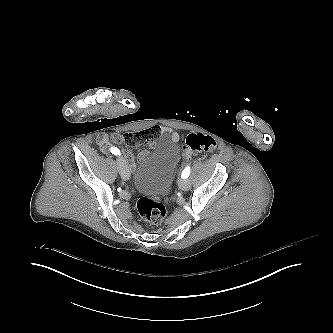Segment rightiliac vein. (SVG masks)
I'll return each mask as SVG.
<instances>
[{"label":"right iliac vein","mask_w":333,"mask_h":333,"mask_svg":"<svg viewBox=\"0 0 333 333\" xmlns=\"http://www.w3.org/2000/svg\"><path fill=\"white\" fill-rule=\"evenodd\" d=\"M121 176L124 180H129L130 178V172L127 163H122V171Z\"/></svg>","instance_id":"1"}]
</instances>
